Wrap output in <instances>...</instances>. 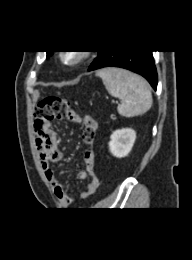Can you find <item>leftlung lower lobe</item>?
<instances>
[{
  "label": "left lung lower lobe",
  "mask_w": 192,
  "mask_h": 260,
  "mask_svg": "<svg viewBox=\"0 0 192 260\" xmlns=\"http://www.w3.org/2000/svg\"><path fill=\"white\" fill-rule=\"evenodd\" d=\"M151 50L100 51L89 66V71L103 67H120L142 75L151 86L157 88V72Z\"/></svg>",
  "instance_id": "0a47b994"
}]
</instances>
